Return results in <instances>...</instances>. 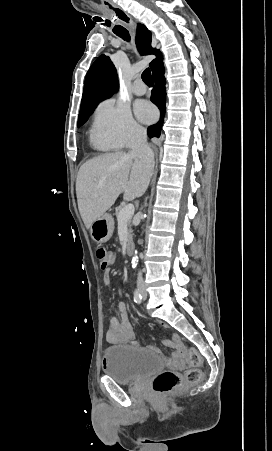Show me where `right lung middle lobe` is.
Here are the masks:
<instances>
[{
  "mask_svg": "<svg viewBox=\"0 0 272 451\" xmlns=\"http://www.w3.org/2000/svg\"><path fill=\"white\" fill-rule=\"evenodd\" d=\"M94 108L91 109H83L80 110L79 117H78V127L83 125L89 118V116L92 114Z\"/></svg>",
  "mask_w": 272,
  "mask_h": 451,
  "instance_id": "1",
  "label": "right lung middle lobe"
}]
</instances>
